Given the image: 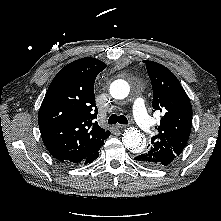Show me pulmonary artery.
I'll list each match as a JSON object with an SVG mask.
<instances>
[{
	"label": "pulmonary artery",
	"mask_w": 221,
	"mask_h": 221,
	"mask_svg": "<svg viewBox=\"0 0 221 221\" xmlns=\"http://www.w3.org/2000/svg\"><path fill=\"white\" fill-rule=\"evenodd\" d=\"M133 115L139 127L143 131L149 132L152 123L149 115L146 112L144 100L142 98H138L135 100L133 104Z\"/></svg>",
	"instance_id": "pulmonary-artery-1"
}]
</instances>
